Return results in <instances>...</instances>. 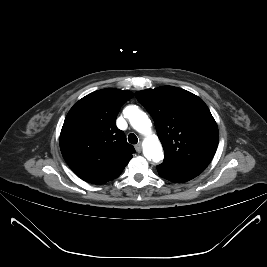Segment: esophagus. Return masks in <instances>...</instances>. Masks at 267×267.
Listing matches in <instances>:
<instances>
[{"instance_id":"esophagus-1","label":"esophagus","mask_w":267,"mask_h":267,"mask_svg":"<svg viewBox=\"0 0 267 267\" xmlns=\"http://www.w3.org/2000/svg\"><path fill=\"white\" fill-rule=\"evenodd\" d=\"M135 149H136V151H137L138 153H140L141 150H142V146H141V144L139 143V144L135 145Z\"/></svg>"}]
</instances>
